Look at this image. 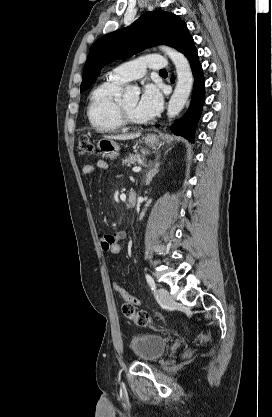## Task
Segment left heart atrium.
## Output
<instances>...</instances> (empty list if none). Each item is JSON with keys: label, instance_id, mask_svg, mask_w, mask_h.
Masks as SVG:
<instances>
[{"label": "left heart atrium", "instance_id": "obj_1", "mask_svg": "<svg viewBox=\"0 0 272 417\" xmlns=\"http://www.w3.org/2000/svg\"><path fill=\"white\" fill-rule=\"evenodd\" d=\"M163 96L156 84H146L136 107V113L144 120L157 115L162 109Z\"/></svg>", "mask_w": 272, "mask_h": 417}]
</instances>
